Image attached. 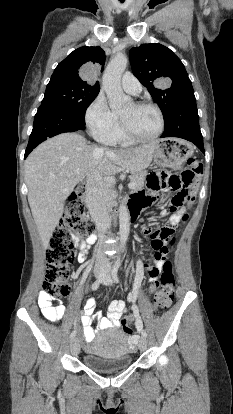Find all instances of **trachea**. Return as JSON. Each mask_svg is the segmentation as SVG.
<instances>
[{"instance_id":"obj_1","label":"trachea","mask_w":233,"mask_h":414,"mask_svg":"<svg viewBox=\"0 0 233 414\" xmlns=\"http://www.w3.org/2000/svg\"><path fill=\"white\" fill-rule=\"evenodd\" d=\"M122 3L125 1V0H120Z\"/></svg>"}]
</instances>
